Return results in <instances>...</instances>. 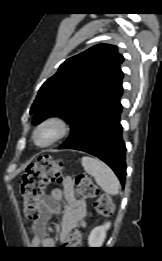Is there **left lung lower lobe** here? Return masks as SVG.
<instances>
[{
    "label": "left lung lower lobe",
    "instance_id": "obj_1",
    "mask_svg": "<svg viewBox=\"0 0 162 261\" xmlns=\"http://www.w3.org/2000/svg\"><path fill=\"white\" fill-rule=\"evenodd\" d=\"M122 91L79 126L59 149H75L92 154L112 168L124 185L125 142L120 115Z\"/></svg>",
    "mask_w": 162,
    "mask_h": 261
}]
</instances>
